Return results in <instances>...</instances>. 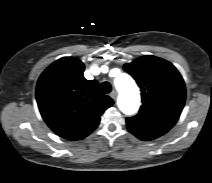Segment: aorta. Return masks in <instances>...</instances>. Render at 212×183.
I'll list each match as a JSON object with an SVG mask.
<instances>
[{"label":"aorta","instance_id":"aorta-1","mask_svg":"<svg viewBox=\"0 0 212 183\" xmlns=\"http://www.w3.org/2000/svg\"><path fill=\"white\" fill-rule=\"evenodd\" d=\"M115 87L119 92V107L125 114H134L140 105V94L135 81L126 73L118 72Z\"/></svg>","mask_w":212,"mask_h":183}]
</instances>
